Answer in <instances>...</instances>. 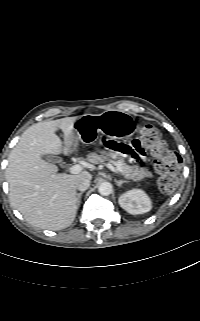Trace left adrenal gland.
<instances>
[{
	"label": "left adrenal gland",
	"instance_id": "a2214340",
	"mask_svg": "<svg viewBox=\"0 0 200 321\" xmlns=\"http://www.w3.org/2000/svg\"><path fill=\"white\" fill-rule=\"evenodd\" d=\"M115 183L118 187H121L123 183H128L127 180H115Z\"/></svg>",
	"mask_w": 200,
	"mask_h": 321
}]
</instances>
